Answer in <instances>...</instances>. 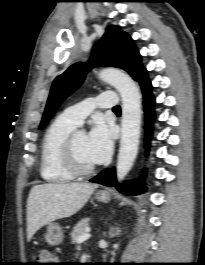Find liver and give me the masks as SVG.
<instances>
[{"label":"liver","instance_id":"1","mask_svg":"<svg viewBox=\"0 0 205 265\" xmlns=\"http://www.w3.org/2000/svg\"><path fill=\"white\" fill-rule=\"evenodd\" d=\"M97 187L89 183L33 186L27 200V240L30 241L41 227L76 214Z\"/></svg>","mask_w":205,"mask_h":265}]
</instances>
